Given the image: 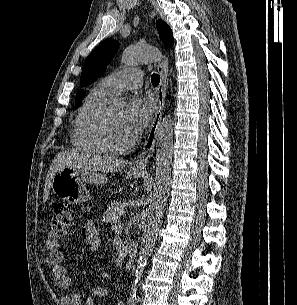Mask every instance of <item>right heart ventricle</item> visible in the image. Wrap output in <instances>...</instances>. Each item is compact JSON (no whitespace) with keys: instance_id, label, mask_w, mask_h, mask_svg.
<instances>
[{"instance_id":"e07e8e85","label":"right heart ventricle","mask_w":297,"mask_h":305,"mask_svg":"<svg viewBox=\"0 0 297 305\" xmlns=\"http://www.w3.org/2000/svg\"><path fill=\"white\" fill-rule=\"evenodd\" d=\"M110 99L111 96L98 85L84 98L75 113L71 129V142L75 149L91 154L105 153L94 136L93 124Z\"/></svg>"}]
</instances>
